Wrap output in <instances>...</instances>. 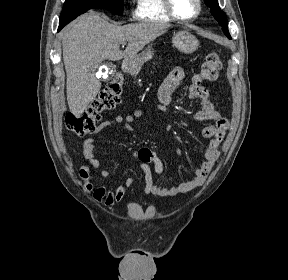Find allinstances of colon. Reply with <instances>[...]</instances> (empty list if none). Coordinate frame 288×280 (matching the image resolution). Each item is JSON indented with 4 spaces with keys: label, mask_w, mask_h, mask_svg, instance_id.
Wrapping results in <instances>:
<instances>
[{
    "label": "colon",
    "mask_w": 288,
    "mask_h": 280,
    "mask_svg": "<svg viewBox=\"0 0 288 280\" xmlns=\"http://www.w3.org/2000/svg\"><path fill=\"white\" fill-rule=\"evenodd\" d=\"M222 68V62L217 52L208 54L201 64L196 82L214 81ZM122 90V77L118 75L109 82L87 106L81 114L68 113L65 117L67 130L78 136L94 133L101 113L114 108L119 102Z\"/></svg>",
    "instance_id": "5ec220e1"
}]
</instances>
